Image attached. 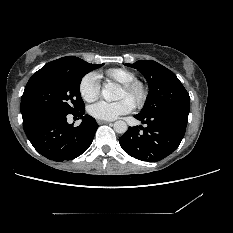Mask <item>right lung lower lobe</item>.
I'll return each mask as SVG.
<instances>
[{
    "label": "right lung lower lobe",
    "mask_w": 233,
    "mask_h": 233,
    "mask_svg": "<svg viewBox=\"0 0 233 233\" xmlns=\"http://www.w3.org/2000/svg\"><path fill=\"white\" fill-rule=\"evenodd\" d=\"M84 111L72 114L82 119L78 127L67 123L68 114L48 113L23 123V128L41 155L54 161L71 160L89 148L99 127L93 117L83 116Z\"/></svg>",
    "instance_id": "1"
}]
</instances>
